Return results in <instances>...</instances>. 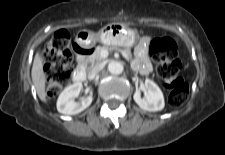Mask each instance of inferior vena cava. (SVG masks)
Masks as SVG:
<instances>
[{"label":"inferior vena cava","mask_w":225,"mask_h":155,"mask_svg":"<svg viewBox=\"0 0 225 155\" xmlns=\"http://www.w3.org/2000/svg\"><path fill=\"white\" fill-rule=\"evenodd\" d=\"M103 67H104L103 64H97L91 67L88 70V79L90 80L94 79L99 74V72L103 69Z\"/></svg>","instance_id":"602c4592"}]
</instances>
